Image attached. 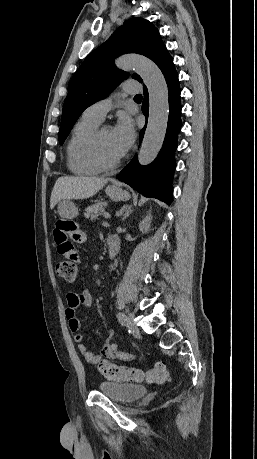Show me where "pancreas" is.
Wrapping results in <instances>:
<instances>
[{
    "mask_svg": "<svg viewBox=\"0 0 257 459\" xmlns=\"http://www.w3.org/2000/svg\"><path fill=\"white\" fill-rule=\"evenodd\" d=\"M107 206L106 202H97L86 208L84 213L85 218H96L99 214L104 212V208Z\"/></svg>",
    "mask_w": 257,
    "mask_h": 459,
    "instance_id": "pancreas-1",
    "label": "pancreas"
}]
</instances>
